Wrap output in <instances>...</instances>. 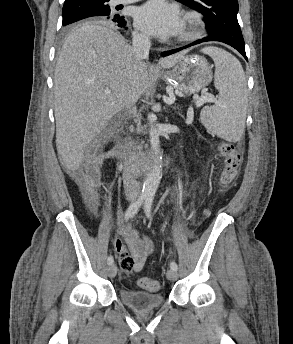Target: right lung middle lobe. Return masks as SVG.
Here are the masks:
<instances>
[{
  "label": "right lung middle lobe",
  "instance_id": "dd1d6c3e",
  "mask_svg": "<svg viewBox=\"0 0 293 344\" xmlns=\"http://www.w3.org/2000/svg\"><path fill=\"white\" fill-rule=\"evenodd\" d=\"M109 0H81L63 6V26L110 15Z\"/></svg>",
  "mask_w": 293,
  "mask_h": 344
}]
</instances>
